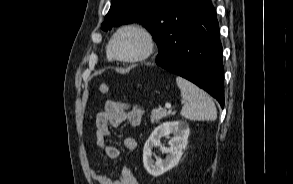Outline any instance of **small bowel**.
Segmentation results:
<instances>
[{
    "label": "small bowel",
    "mask_w": 293,
    "mask_h": 184,
    "mask_svg": "<svg viewBox=\"0 0 293 184\" xmlns=\"http://www.w3.org/2000/svg\"><path fill=\"white\" fill-rule=\"evenodd\" d=\"M142 116L143 109L139 106L130 107L118 101H106L104 111L96 116L95 139L98 147L108 158L115 159L120 154L118 148L108 142L111 137V129L118 128L125 122L132 127H137L141 123ZM123 145L128 151H134L137 142L133 137L127 136L123 139ZM90 174L93 181L98 184H139L137 178L127 167H123L116 178H111L96 168H92Z\"/></svg>",
    "instance_id": "small-bowel-1"
}]
</instances>
